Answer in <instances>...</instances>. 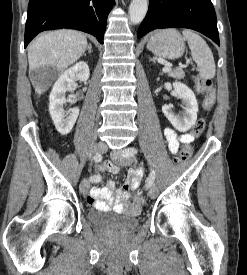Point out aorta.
<instances>
[{"mask_svg": "<svg viewBox=\"0 0 247 275\" xmlns=\"http://www.w3.org/2000/svg\"><path fill=\"white\" fill-rule=\"evenodd\" d=\"M148 0H132L129 6V18L133 24H139L145 18L148 10Z\"/></svg>", "mask_w": 247, "mask_h": 275, "instance_id": "762f6f07", "label": "aorta"}]
</instances>
